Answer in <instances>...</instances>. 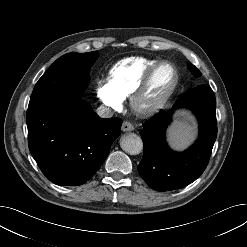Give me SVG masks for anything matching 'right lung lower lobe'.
Here are the masks:
<instances>
[{
  "label": "right lung lower lobe",
  "mask_w": 247,
  "mask_h": 247,
  "mask_svg": "<svg viewBox=\"0 0 247 247\" xmlns=\"http://www.w3.org/2000/svg\"><path fill=\"white\" fill-rule=\"evenodd\" d=\"M26 122L33 158L51 182L63 186L82 185L96 173L122 125L115 117L100 118L80 97L29 102Z\"/></svg>",
  "instance_id": "98d812e1"
}]
</instances>
